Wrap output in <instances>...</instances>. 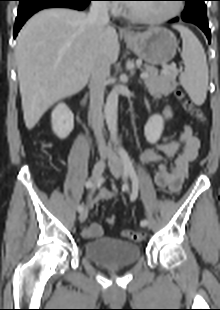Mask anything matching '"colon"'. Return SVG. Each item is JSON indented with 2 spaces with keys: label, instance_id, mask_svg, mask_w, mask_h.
<instances>
[{
  "label": "colon",
  "instance_id": "colon-1",
  "mask_svg": "<svg viewBox=\"0 0 220 310\" xmlns=\"http://www.w3.org/2000/svg\"><path fill=\"white\" fill-rule=\"evenodd\" d=\"M176 95L179 99H183L184 98V93L181 90H178L176 92ZM184 106L187 110H189L191 112V114L199 121L203 122L206 120V115L205 112L197 107L194 106L191 102L189 101H185L184 102ZM116 221V217L114 215H111L107 218V222L109 224H114ZM122 236L125 238H128L134 242H139L144 238V234L142 232L136 231V230H131V229H126L122 231Z\"/></svg>",
  "mask_w": 220,
  "mask_h": 310
}]
</instances>
